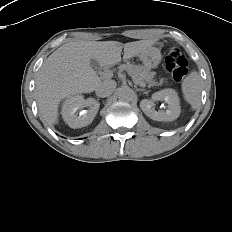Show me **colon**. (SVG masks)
Here are the masks:
<instances>
[{"label":"colon","mask_w":232,"mask_h":232,"mask_svg":"<svg viewBox=\"0 0 232 232\" xmlns=\"http://www.w3.org/2000/svg\"><path fill=\"white\" fill-rule=\"evenodd\" d=\"M164 65L174 81H181L187 74V59L178 49H171L165 56Z\"/></svg>","instance_id":"5ec220e1"}]
</instances>
